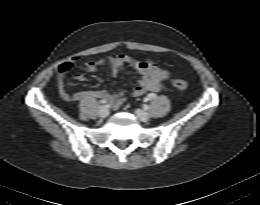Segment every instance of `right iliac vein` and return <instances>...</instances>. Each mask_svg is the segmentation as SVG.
Returning a JSON list of instances; mask_svg holds the SVG:
<instances>
[{
  "label": "right iliac vein",
  "mask_w": 260,
  "mask_h": 205,
  "mask_svg": "<svg viewBox=\"0 0 260 205\" xmlns=\"http://www.w3.org/2000/svg\"><path fill=\"white\" fill-rule=\"evenodd\" d=\"M99 115L102 117V118H105L109 115V109L106 107V106H101L99 108Z\"/></svg>",
  "instance_id": "63e3f726"
}]
</instances>
